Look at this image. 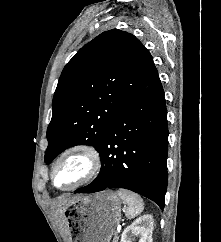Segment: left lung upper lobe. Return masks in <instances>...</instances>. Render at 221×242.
<instances>
[{"mask_svg":"<svg viewBox=\"0 0 221 242\" xmlns=\"http://www.w3.org/2000/svg\"><path fill=\"white\" fill-rule=\"evenodd\" d=\"M157 75L151 54L130 33L112 29L83 46L58 81L45 162L75 145L99 152L116 116Z\"/></svg>","mask_w":221,"mask_h":242,"instance_id":"left-lung-upper-lobe-1","label":"left lung upper lobe"}]
</instances>
